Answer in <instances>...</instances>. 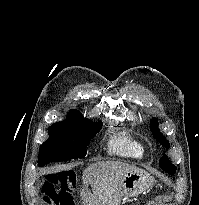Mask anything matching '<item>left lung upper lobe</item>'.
<instances>
[{
    "instance_id": "left-lung-upper-lobe-1",
    "label": "left lung upper lobe",
    "mask_w": 199,
    "mask_h": 205,
    "mask_svg": "<svg viewBox=\"0 0 199 205\" xmlns=\"http://www.w3.org/2000/svg\"><path fill=\"white\" fill-rule=\"evenodd\" d=\"M150 129L153 133L154 138L160 142L161 145L165 146L166 149L169 148V142L166 138L162 135L158 128V121L157 119L153 118L150 122ZM159 166L164 171L168 172L169 174L173 175L176 172V167L170 162L167 155H163L159 161Z\"/></svg>"
}]
</instances>
